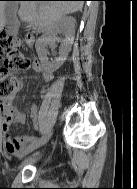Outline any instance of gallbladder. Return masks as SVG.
<instances>
[{"label":"gallbladder","instance_id":"1","mask_svg":"<svg viewBox=\"0 0 137 189\" xmlns=\"http://www.w3.org/2000/svg\"><path fill=\"white\" fill-rule=\"evenodd\" d=\"M5 7V16L7 23V33L9 35H16L19 28V21L16 16L18 9V2H7Z\"/></svg>","mask_w":137,"mask_h":189}]
</instances>
